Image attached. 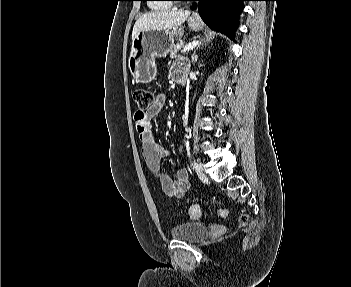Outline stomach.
Here are the masks:
<instances>
[{
  "mask_svg": "<svg viewBox=\"0 0 351 287\" xmlns=\"http://www.w3.org/2000/svg\"><path fill=\"white\" fill-rule=\"evenodd\" d=\"M200 21L188 19V26L192 30L200 28ZM182 35L181 29L139 31L132 41V48L128 60L129 70L139 83H149L156 76V57H165L172 46L174 38Z\"/></svg>",
  "mask_w": 351,
  "mask_h": 287,
  "instance_id": "0dacf381",
  "label": "stomach"
}]
</instances>
